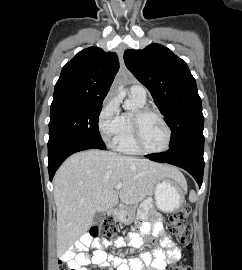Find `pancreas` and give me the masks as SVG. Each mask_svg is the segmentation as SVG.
<instances>
[{
  "label": "pancreas",
  "instance_id": "pancreas-1",
  "mask_svg": "<svg viewBox=\"0 0 242 270\" xmlns=\"http://www.w3.org/2000/svg\"><path fill=\"white\" fill-rule=\"evenodd\" d=\"M135 210H136L135 206H129V207L123 208V212L129 216V218L126 220L127 223L134 219Z\"/></svg>",
  "mask_w": 242,
  "mask_h": 270
}]
</instances>
